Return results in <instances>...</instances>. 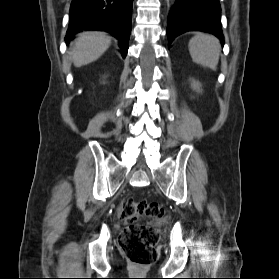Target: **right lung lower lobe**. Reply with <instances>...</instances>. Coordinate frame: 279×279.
I'll use <instances>...</instances> for the list:
<instances>
[{
  "mask_svg": "<svg viewBox=\"0 0 279 279\" xmlns=\"http://www.w3.org/2000/svg\"><path fill=\"white\" fill-rule=\"evenodd\" d=\"M132 3L133 0H72L66 42L83 30L107 31L119 40L125 58L131 33Z\"/></svg>",
  "mask_w": 279,
  "mask_h": 279,
  "instance_id": "98d812e1",
  "label": "right lung lower lobe"
}]
</instances>
